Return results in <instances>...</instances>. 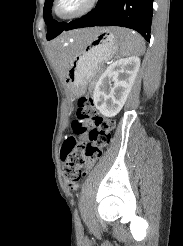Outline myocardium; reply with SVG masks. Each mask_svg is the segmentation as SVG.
<instances>
[{
	"label": "myocardium",
	"mask_w": 183,
	"mask_h": 246,
	"mask_svg": "<svg viewBox=\"0 0 183 246\" xmlns=\"http://www.w3.org/2000/svg\"><path fill=\"white\" fill-rule=\"evenodd\" d=\"M61 2L62 0L53 1V5H52L53 15L60 20H71V19L81 17L87 14L88 12H90L95 7L98 0H84L82 5L79 8H77L74 11L68 12V13H62L59 10V6Z\"/></svg>",
	"instance_id": "obj_1"
}]
</instances>
